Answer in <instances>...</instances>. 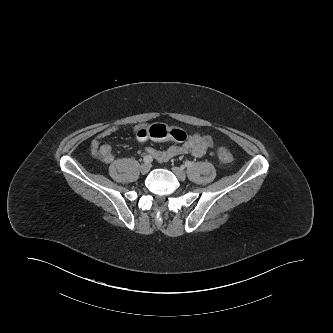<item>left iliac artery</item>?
Segmentation results:
<instances>
[{
  "mask_svg": "<svg viewBox=\"0 0 333 333\" xmlns=\"http://www.w3.org/2000/svg\"><path fill=\"white\" fill-rule=\"evenodd\" d=\"M193 163L191 161H186L184 166L189 168V167H192Z\"/></svg>",
  "mask_w": 333,
  "mask_h": 333,
  "instance_id": "44dca946",
  "label": "left iliac artery"
}]
</instances>
